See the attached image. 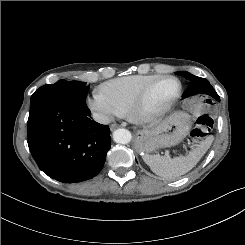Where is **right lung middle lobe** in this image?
<instances>
[{"label": "right lung middle lobe", "mask_w": 245, "mask_h": 245, "mask_svg": "<svg viewBox=\"0 0 245 245\" xmlns=\"http://www.w3.org/2000/svg\"><path fill=\"white\" fill-rule=\"evenodd\" d=\"M89 86L80 81L59 80L55 84L38 88L31 96L30 107L47 99H60L70 103H85Z\"/></svg>", "instance_id": "1"}]
</instances>
